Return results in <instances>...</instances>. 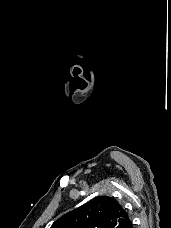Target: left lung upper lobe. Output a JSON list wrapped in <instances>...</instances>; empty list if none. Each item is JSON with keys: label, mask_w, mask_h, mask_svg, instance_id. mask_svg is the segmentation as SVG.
<instances>
[{"label": "left lung upper lobe", "mask_w": 171, "mask_h": 228, "mask_svg": "<svg viewBox=\"0 0 171 228\" xmlns=\"http://www.w3.org/2000/svg\"><path fill=\"white\" fill-rule=\"evenodd\" d=\"M128 220L126 210L116 199L99 196L66 213L51 228H122Z\"/></svg>", "instance_id": "5c2ea615"}]
</instances>
